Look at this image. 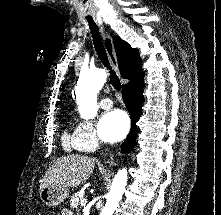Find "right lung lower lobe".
Returning <instances> with one entry per match:
<instances>
[{"instance_id": "obj_1", "label": "right lung lower lobe", "mask_w": 221, "mask_h": 215, "mask_svg": "<svg viewBox=\"0 0 221 215\" xmlns=\"http://www.w3.org/2000/svg\"><path fill=\"white\" fill-rule=\"evenodd\" d=\"M143 78L135 81L134 83L122 88V98L131 117V130L121 149L122 152L128 153L131 151L136 140V122L142 113V105L144 102L143 97Z\"/></svg>"}]
</instances>
